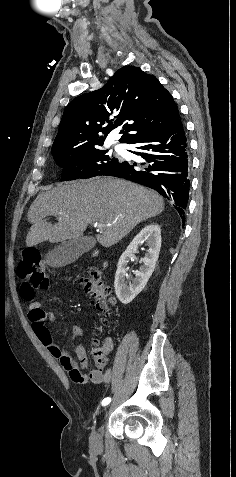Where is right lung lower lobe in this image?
Instances as JSON below:
<instances>
[{
    "instance_id": "right-lung-lower-lobe-1",
    "label": "right lung lower lobe",
    "mask_w": 236,
    "mask_h": 477,
    "mask_svg": "<svg viewBox=\"0 0 236 477\" xmlns=\"http://www.w3.org/2000/svg\"><path fill=\"white\" fill-rule=\"evenodd\" d=\"M128 144H135L144 162L140 165L123 161L108 176L124 178L159 192L174 202V207L184 220L189 196V146L179 113L165 128L137 137Z\"/></svg>"
}]
</instances>
